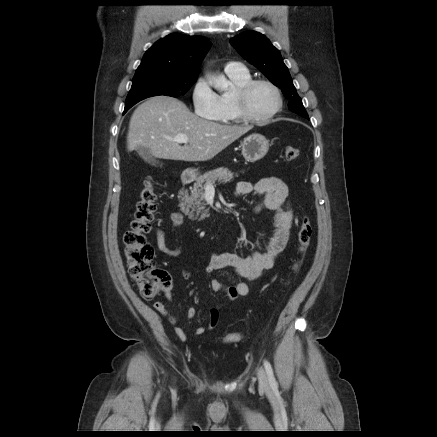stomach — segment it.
I'll return each instance as SVG.
<instances>
[{"label": "stomach", "mask_w": 437, "mask_h": 437, "mask_svg": "<svg viewBox=\"0 0 437 437\" xmlns=\"http://www.w3.org/2000/svg\"><path fill=\"white\" fill-rule=\"evenodd\" d=\"M242 155L248 162L262 159L269 150V141L261 134H251L241 142Z\"/></svg>", "instance_id": "0dacf381"}]
</instances>
